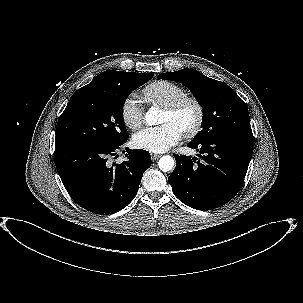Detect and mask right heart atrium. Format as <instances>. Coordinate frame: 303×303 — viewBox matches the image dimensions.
Masks as SVG:
<instances>
[{
    "label": "right heart atrium",
    "instance_id": "right-heart-atrium-1",
    "mask_svg": "<svg viewBox=\"0 0 303 303\" xmlns=\"http://www.w3.org/2000/svg\"><path fill=\"white\" fill-rule=\"evenodd\" d=\"M120 112L124 124L132 130L140 128L144 122L145 108L136 93L129 94L123 100Z\"/></svg>",
    "mask_w": 303,
    "mask_h": 303
}]
</instances>
